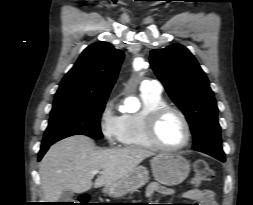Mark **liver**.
<instances>
[{
    "label": "liver",
    "instance_id": "1",
    "mask_svg": "<svg viewBox=\"0 0 253 205\" xmlns=\"http://www.w3.org/2000/svg\"><path fill=\"white\" fill-rule=\"evenodd\" d=\"M152 155L153 152L139 147L96 149L87 136L67 137L52 145L39 164L44 198L57 202L65 190L76 193L90 190L95 170L102 172L94 187L107 186L127 176Z\"/></svg>",
    "mask_w": 253,
    "mask_h": 205
}]
</instances>
